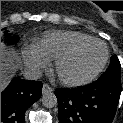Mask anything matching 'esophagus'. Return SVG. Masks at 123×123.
<instances>
[{"mask_svg": "<svg viewBox=\"0 0 123 123\" xmlns=\"http://www.w3.org/2000/svg\"><path fill=\"white\" fill-rule=\"evenodd\" d=\"M52 90L53 89L48 84H44L42 87V93L43 94L50 93V92H52Z\"/></svg>", "mask_w": 123, "mask_h": 123, "instance_id": "1", "label": "esophagus"}]
</instances>
